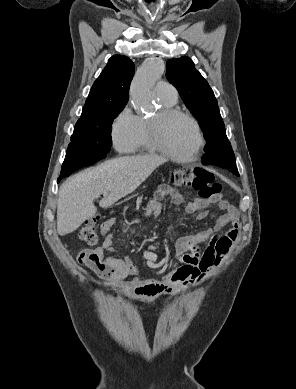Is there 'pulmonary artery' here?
Listing matches in <instances>:
<instances>
[{
	"instance_id": "e3ab8cb5",
	"label": "pulmonary artery",
	"mask_w": 296,
	"mask_h": 389,
	"mask_svg": "<svg viewBox=\"0 0 296 389\" xmlns=\"http://www.w3.org/2000/svg\"><path fill=\"white\" fill-rule=\"evenodd\" d=\"M155 92L160 98H164L171 101H176L178 93L176 88L166 81H159L155 85Z\"/></svg>"
}]
</instances>
